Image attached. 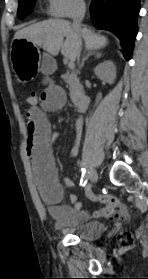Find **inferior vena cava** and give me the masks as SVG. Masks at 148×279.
<instances>
[{"instance_id": "1", "label": "inferior vena cava", "mask_w": 148, "mask_h": 279, "mask_svg": "<svg viewBox=\"0 0 148 279\" xmlns=\"http://www.w3.org/2000/svg\"><path fill=\"white\" fill-rule=\"evenodd\" d=\"M85 13H86L85 5H80L77 8L76 13H75V15L73 17L72 27H73V30L75 31L76 35H77L76 53H77L78 61H79V57H80L81 44H82L79 34H80V31H81V22L84 19Z\"/></svg>"}]
</instances>
